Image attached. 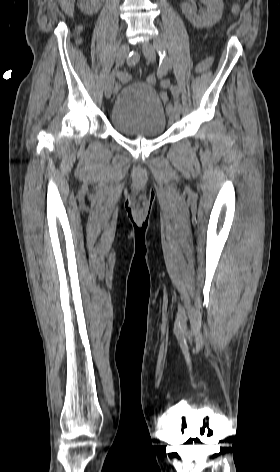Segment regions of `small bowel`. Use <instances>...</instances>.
Listing matches in <instances>:
<instances>
[{
    "label": "small bowel",
    "mask_w": 280,
    "mask_h": 472,
    "mask_svg": "<svg viewBox=\"0 0 280 472\" xmlns=\"http://www.w3.org/2000/svg\"><path fill=\"white\" fill-rule=\"evenodd\" d=\"M211 63H212V60H211L210 58L205 59L204 61H202V62L197 66V72H200V73H201V72H204L205 70H207V69L210 67ZM169 84H170L169 80H162V82H161V86H162L163 88H167V87L169 86ZM161 97H162L164 100L168 99V95H167L165 92H162V93H161Z\"/></svg>",
    "instance_id": "c3829d8e"
}]
</instances>
